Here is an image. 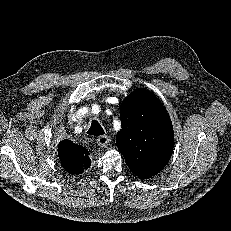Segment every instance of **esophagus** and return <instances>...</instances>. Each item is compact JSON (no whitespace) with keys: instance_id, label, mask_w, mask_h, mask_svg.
Listing matches in <instances>:
<instances>
[{"instance_id":"1","label":"esophagus","mask_w":231,"mask_h":231,"mask_svg":"<svg viewBox=\"0 0 231 231\" xmlns=\"http://www.w3.org/2000/svg\"><path fill=\"white\" fill-rule=\"evenodd\" d=\"M110 143V138L107 135H102L100 137H98L97 139V144L100 147H107Z\"/></svg>"}]
</instances>
